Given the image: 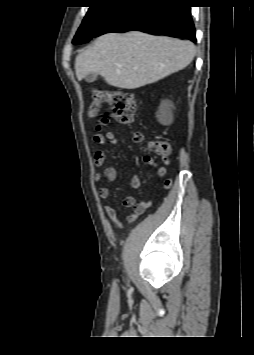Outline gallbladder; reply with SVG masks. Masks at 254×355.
Segmentation results:
<instances>
[{
    "label": "gallbladder",
    "mask_w": 254,
    "mask_h": 355,
    "mask_svg": "<svg viewBox=\"0 0 254 355\" xmlns=\"http://www.w3.org/2000/svg\"><path fill=\"white\" fill-rule=\"evenodd\" d=\"M96 78H97V74H95V73H89V74L85 77V80H86V82H88V83H92V82H94V81L96 80Z\"/></svg>",
    "instance_id": "bac80fb5"
}]
</instances>
